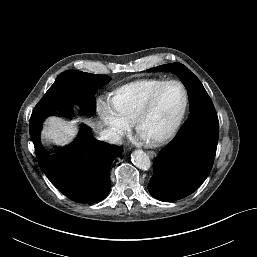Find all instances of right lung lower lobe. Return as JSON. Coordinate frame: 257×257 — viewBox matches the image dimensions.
Instances as JSON below:
<instances>
[{
    "mask_svg": "<svg viewBox=\"0 0 257 257\" xmlns=\"http://www.w3.org/2000/svg\"><path fill=\"white\" fill-rule=\"evenodd\" d=\"M35 126L31 128L37 159L48 179L66 197L78 203H94L106 197L110 190V166L112 161L121 154L112 145L98 142L92 162L82 168L65 170L64 176L55 171L63 165L53 162L44 163L40 157L38 144L34 137ZM64 167V166H63ZM74 176V177H73Z\"/></svg>",
    "mask_w": 257,
    "mask_h": 257,
    "instance_id": "right-lung-lower-lobe-1",
    "label": "right lung lower lobe"
}]
</instances>
